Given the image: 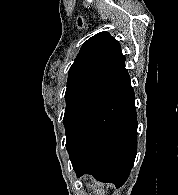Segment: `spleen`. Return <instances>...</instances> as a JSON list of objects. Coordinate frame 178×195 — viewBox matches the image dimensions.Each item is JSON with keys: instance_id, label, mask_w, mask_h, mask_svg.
<instances>
[{"instance_id": "3e777b00", "label": "spleen", "mask_w": 178, "mask_h": 195, "mask_svg": "<svg viewBox=\"0 0 178 195\" xmlns=\"http://www.w3.org/2000/svg\"><path fill=\"white\" fill-rule=\"evenodd\" d=\"M98 185H99L98 183L94 182V183H92V185H89V186H93V188H97ZM96 192H97L98 195H105L106 191L103 188L98 187Z\"/></svg>"}]
</instances>
